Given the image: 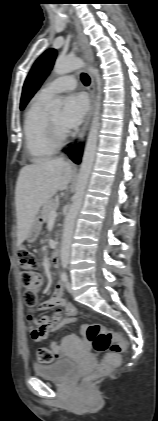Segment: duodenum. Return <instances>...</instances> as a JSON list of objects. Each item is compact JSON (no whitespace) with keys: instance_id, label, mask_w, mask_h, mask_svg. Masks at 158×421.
<instances>
[{"instance_id":"410a0bca","label":"duodenum","mask_w":158,"mask_h":421,"mask_svg":"<svg viewBox=\"0 0 158 421\" xmlns=\"http://www.w3.org/2000/svg\"><path fill=\"white\" fill-rule=\"evenodd\" d=\"M60 260H61V253H60V251H59V250H55V251L52 253V256H51V262H52V265H53L54 267L59 266Z\"/></svg>"}]
</instances>
